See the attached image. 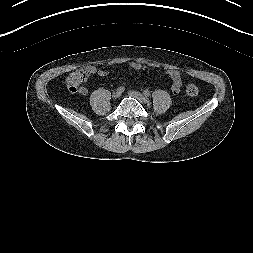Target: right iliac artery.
Returning a JSON list of instances; mask_svg holds the SVG:
<instances>
[{
  "label": "right iliac artery",
  "mask_w": 253,
  "mask_h": 253,
  "mask_svg": "<svg viewBox=\"0 0 253 253\" xmlns=\"http://www.w3.org/2000/svg\"><path fill=\"white\" fill-rule=\"evenodd\" d=\"M125 90V87L124 86H120L117 88V93H122L123 91Z\"/></svg>",
  "instance_id": "obj_1"
}]
</instances>
